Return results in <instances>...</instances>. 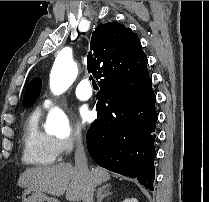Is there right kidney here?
I'll use <instances>...</instances> for the list:
<instances>
[{
    "label": "right kidney",
    "mask_w": 209,
    "mask_h": 202,
    "mask_svg": "<svg viewBox=\"0 0 209 202\" xmlns=\"http://www.w3.org/2000/svg\"><path fill=\"white\" fill-rule=\"evenodd\" d=\"M123 202H138L136 198L125 199Z\"/></svg>",
    "instance_id": "ca27d5eb"
}]
</instances>
